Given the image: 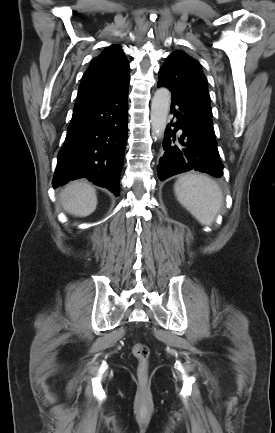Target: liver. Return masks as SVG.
I'll list each match as a JSON object with an SVG mask.
<instances>
[{
	"label": "liver",
	"instance_id": "liver-1",
	"mask_svg": "<svg viewBox=\"0 0 275 433\" xmlns=\"http://www.w3.org/2000/svg\"><path fill=\"white\" fill-rule=\"evenodd\" d=\"M60 203L67 213L77 217H87L96 209V191L85 181H72L62 190Z\"/></svg>",
	"mask_w": 275,
	"mask_h": 433
}]
</instances>
